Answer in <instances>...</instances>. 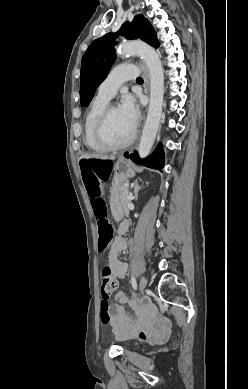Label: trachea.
Listing matches in <instances>:
<instances>
[{"label":"trachea","instance_id":"obj_1","mask_svg":"<svg viewBox=\"0 0 248 389\" xmlns=\"http://www.w3.org/2000/svg\"><path fill=\"white\" fill-rule=\"evenodd\" d=\"M136 81H143V79H142L141 77H138V78L136 79Z\"/></svg>","mask_w":248,"mask_h":389}]
</instances>
